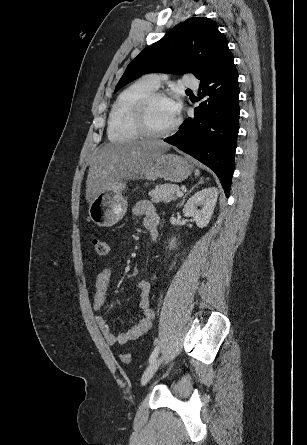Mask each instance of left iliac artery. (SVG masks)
<instances>
[{
    "label": "left iliac artery",
    "instance_id": "left-iliac-artery-1",
    "mask_svg": "<svg viewBox=\"0 0 307 445\" xmlns=\"http://www.w3.org/2000/svg\"><path fill=\"white\" fill-rule=\"evenodd\" d=\"M158 353H159V346H156L150 355L149 363H151L157 357Z\"/></svg>",
    "mask_w": 307,
    "mask_h": 445
}]
</instances>
